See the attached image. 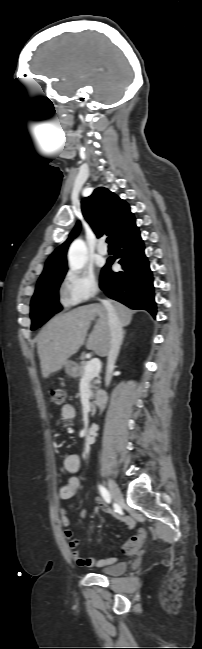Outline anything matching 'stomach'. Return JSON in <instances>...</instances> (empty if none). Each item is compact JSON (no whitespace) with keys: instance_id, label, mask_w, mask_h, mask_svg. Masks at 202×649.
I'll list each match as a JSON object with an SVG mask.
<instances>
[{"instance_id":"obj_1","label":"stomach","mask_w":202,"mask_h":649,"mask_svg":"<svg viewBox=\"0 0 202 649\" xmlns=\"http://www.w3.org/2000/svg\"><path fill=\"white\" fill-rule=\"evenodd\" d=\"M65 370H66V373H67L69 376H71V377H76V374H77V365H76L74 362H72V361H68V362H66V364H65Z\"/></svg>"}]
</instances>
